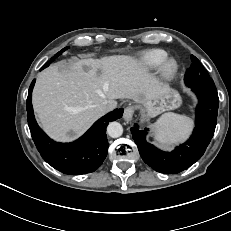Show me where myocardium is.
I'll return each mask as SVG.
<instances>
[{
	"mask_svg": "<svg viewBox=\"0 0 231 231\" xmlns=\"http://www.w3.org/2000/svg\"><path fill=\"white\" fill-rule=\"evenodd\" d=\"M179 69L178 61L173 57H167L158 68L159 79L163 83H170L177 77Z\"/></svg>",
	"mask_w": 231,
	"mask_h": 231,
	"instance_id": "f54148a6",
	"label": "myocardium"
}]
</instances>
